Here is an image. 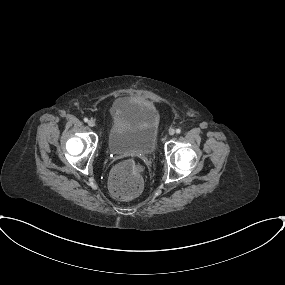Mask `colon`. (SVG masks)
<instances>
[{
    "instance_id": "colon-1",
    "label": "colon",
    "mask_w": 285,
    "mask_h": 285,
    "mask_svg": "<svg viewBox=\"0 0 285 285\" xmlns=\"http://www.w3.org/2000/svg\"><path fill=\"white\" fill-rule=\"evenodd\" d=\"M108 187L110 193L121 200L139 196L144 189L141 166L134 162L117 165L110 174Z\"/></svg>"
}]
</instances>
